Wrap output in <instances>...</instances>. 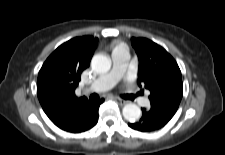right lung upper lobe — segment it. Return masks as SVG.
Returning a JSON list of instances; mask_svg holds the SVG:
<instances>
[{"instance_id": "right-lung-upper-lobe-1", "label": "right lung upper lobe", "mask_w": 225, "mask_h": 155, "mask_svg": "<svg viewBox=\"0 0 225 155\" xmlns=\"http://www.w3.org/2000/svg\"><path fill=\"white\" fill-rule=\"evenodd\" d=\"M98 38H73L59 46L44 62L37 80L40 104L55 124H64L70 113L89 103L86 97L78 98L75 89L81 73L90 65Z\"/></svg>"}]
</instances>
